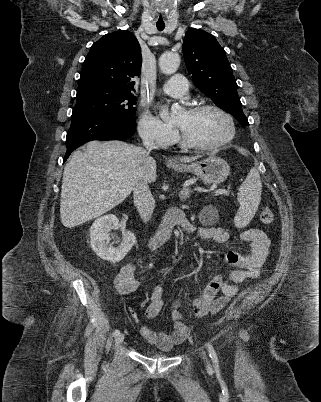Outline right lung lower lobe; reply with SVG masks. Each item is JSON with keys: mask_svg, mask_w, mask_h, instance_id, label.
I'll use <instances>...</instances> for the list:
<instances>
[{"mask_svg": "<svg viewBox=\"0 0 321 402\" xmlns=\"http://www.w3.org/2000/svg\"><path fill=\"white\" fill-rule=\"evenodd\" d=\"M136 130L135 119L82 116L72 118L67 132V151L63 162L80 145L91 140H124Z\"/></svg>", "mask_w": 321, "mask_h": 402, "instance_id": "obj_1", "label": "right lung lower lobe"}]
</instances>
